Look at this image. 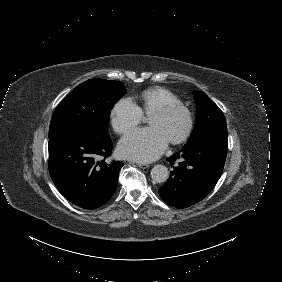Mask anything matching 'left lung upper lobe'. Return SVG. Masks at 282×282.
I'll return each instance as SVG.
<instances>
[{"instance_id":"5c2ea615","label":"left lung upper lobe","mask_w":282,"mask_h":282,"mask_svg":"<svg viewBox=\"0 0 282 282\" xmlns=\"http://www.w3.org/2000/svg\"><path fill=\"white\" fill-rule=\"evenodd\" d=\"M194 100L197 105L196 123L188 141L198 137L206 130L226 127V121L222 111L205 93L195 91Z\"/></svg>"}]
</instances>
